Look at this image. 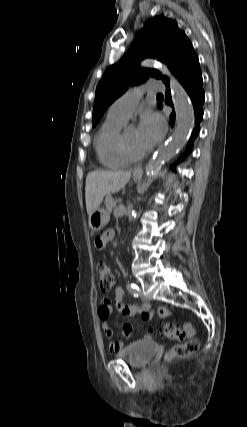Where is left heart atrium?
<instances>
[{
  "instance_id": "39dd6f15",
  "label": "left heart atrium",
  "mask_w": 247,
  "mask_h": 427,
  "mask_svg": "<svg viewBox=\"0 0 247 427\" xmlns=\"http://www.w3.org/2000/svg\"><path fill=\"white\" fill-rule=\"evenodd\" d=\"M138 135L146 149L156 145L166 132V123L161 115L156 112H146L140 121Z\"/></svg>"
}]
</instances>
